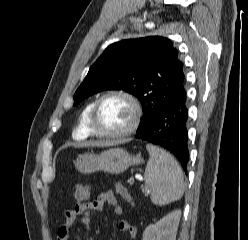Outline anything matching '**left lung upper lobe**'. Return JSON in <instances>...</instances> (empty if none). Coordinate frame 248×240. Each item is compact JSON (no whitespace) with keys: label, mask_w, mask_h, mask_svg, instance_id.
Wrapping results in <instances>:
<instances>
[{"label":"left lung upper lobe","mask_w":248,"mask_h":240,"mask_svg":"<svg viewBox=\"0 0 248 240\" xmlns=\"http://www.w3.org/2000/svg\"><path fill=\"white\" fill-rule=\"evenodd\" d=\"M120 89L141 102L143 130L158 111L185 92L183 62L171 40L153 36L127 39L109 45L90 67L74 94V106L86 97Z\"/></svg>","instance_id":"left-lung-upper-lobe-1"}]
</instances>
